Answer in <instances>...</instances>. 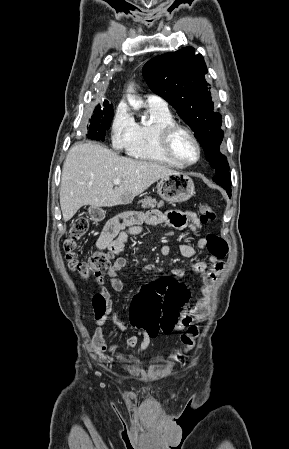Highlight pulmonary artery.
<instances>
[{
	"label": "pulmonary artery",
	"mask_w": 289,
	"mask_h": 449,
	"mask_svg": "<svg viewBox=\"0 0 289 449\" xmlns=\"http://www.w3.org/2000/svg\"><path fill=\"white\" fill-rule=\"evenodd\" d=\"M146 103L148 106L156 107V108H167L166 101L157 95H147Z\"/></svg>",
	"instance_id": "1"
}]
</instances>
